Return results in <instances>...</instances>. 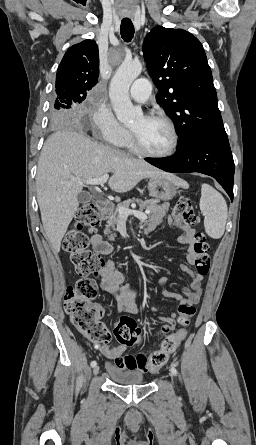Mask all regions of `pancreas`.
Here are the masks:
<instances>
[{"label":"pancreas","instance_id":"cf45deb5","mask_svg":"<svg viewBox=\"0 0 256 445\" xmlns=\"http://www.w3.org/2000/svg\"><path fill=\"white\" fill-rule=\"evenodd\" d=\"M133 202L138 203L141 209H147L149 211V214L151 215L163 216L165 214V211H163L162 208L158 205L159 201L156 199L145 200V201H142L140 199H129L118 204L117 207H112L109 209L108 214L106 216L107 225L105 229V234L111 233L110 228H114L115 224H117V222L119 221L120 215L118 209L120 207L128 208L129 205ZM114 237L115 235L112 234L108 236L109 240H114Z\"/></svg>","mask_w":256,"mask_h":445}]
</instances>
